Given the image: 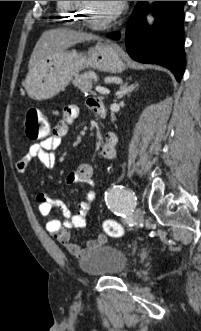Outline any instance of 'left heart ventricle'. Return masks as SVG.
I'll list each match as a JSON object with an SVG mask.
<instances>
[{"label": "left heart ventricle", "mask_w": 201, "mask_h": 331, "mask_svg": "<svg viewBox=\"0 0 201 331\" xmlns=\"http://www.w3.org/2000/svg\"><path fill=\"white\" fill-rule=\"evenodd\" d=\"M119 1H87L86 17L91 22L103 21L118 7Z\"/></svg>", "instance_id": "left-heart-ventricle-1"}]
</instances>
